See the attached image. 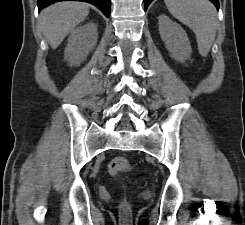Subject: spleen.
Instances as JSON below:
<instances>
[{"mask_svg":"<svg viewBox=\"0 0 245 225\" xmlns=\"http://www.w3.org/2000/svg\"><path fill=\"white\" fill-rule=\"evenodd\" d=\"M169 12L196 34L198 51L207 56L217 31V11L209 0H164Z\"/></svg>","mask_w":245,"mask_h":225,"instance_id":"3e777b00","label":"spleen"}]
</instances>
